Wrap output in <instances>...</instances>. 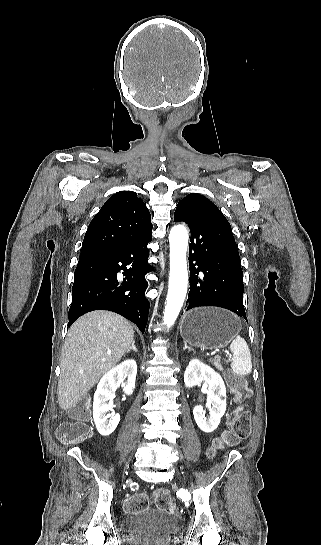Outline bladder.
<instances>
[{
    "mask_svg": "<svg viewBox=\"0 0 321 545\" xmlns=\"http://www.w3.org/2000/svg\"><path fill=\"white\" fill-rule=\"evenodd\" d=\"M124 529L128 538L134 542L165 539L175 534L178 521L163 510L146 508L127 515Z\"/></svg>",
    "mask_w": 321,
    "mask_h": 545,
    "instance_id": "31cf9c89",
    "label": "bladder"
}]
</instances>
